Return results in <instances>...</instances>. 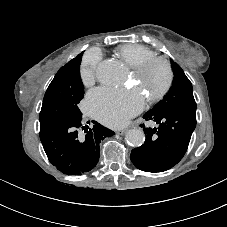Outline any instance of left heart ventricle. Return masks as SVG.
Here are the masks:
<instances>
[{"instance_id": "b2bd125f", "label": "left heart ventricle", "mask_w": 227, "mask_h": 227, "mask_svg": "<svg viewBox=\"0 0 227 227\" xmlns=\"http://www.w3.org/2000/svg\"><path fill=\"white\" fill-rule=\"evenodd\" d=\"M165 78L164 69L160 65H155L144 76L135 80L138 82L139 88L151 97L163 86Z\"/></svg>"}]
</instances>
